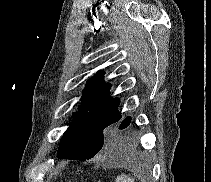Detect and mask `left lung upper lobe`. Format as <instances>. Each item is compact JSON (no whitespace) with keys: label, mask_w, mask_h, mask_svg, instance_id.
<instances>
[{"label":"left lung upper lobe","mask_w":211,"mask_h":182,"mask_svg":"<svg viewBox=\"0 0 211 182\" xmlns=\"http://www.w3.org/2000/svg\"><path fill=\"white\" fill-rule=\"evenodd\" d=\"M103 78V71H99L88 80L82 105L72 114L75 119L61 138L58 158L85 161L107 146L113 125L121 120V112L117 109L119 99L111 98V85Z\"/></svg>","instance_id":"left-lung-upper-lobe-1"}]
</instances>
